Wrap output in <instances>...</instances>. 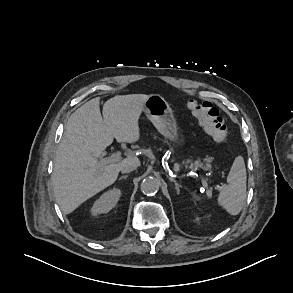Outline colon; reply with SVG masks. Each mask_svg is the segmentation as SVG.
<instances>
[{"label": "colon", "instance_id": "5ec220e1", "mask_svg": "<svg viewBox=\"0 0 293 293\" xmlns=\"http://www.w3.org/2000/svg\"><path fill=\"white\" fill-rule=\"evenodd\" d=\"M187 107L204 132L216 142H226L229 130L218 109L210 102L190 100Z\"/></svg>", "mask_w": 293, "mask_h": 293}]
</instances>
